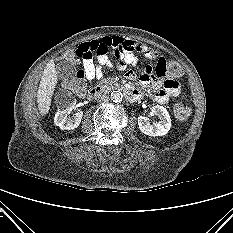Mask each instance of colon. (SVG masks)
<instances>
[{
    "mask_svg": "<svg viewBox=\"0 0 233 233\" xmlns=\"http://www.w3.org/2000/svg\"><path fill=\"white\" fill-rule=\"evenodd\" d=\"M156 73L159 76L169 75L171 77H180L183 73L181 65L175 60H162L158 63ZM65 88L72 91L77 96L85 93V74L78 72L76 76L65 82ZM174 116L178 121H185L191 114L190 107L185 102H178L173 108Z\"/></svg>",
    "mask_w": 233,
    "mask_h": 233,
    "instance_id": "obj_1",
    "label": "colon"
}]
</instances>
